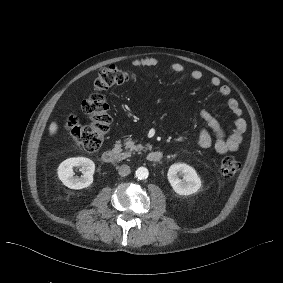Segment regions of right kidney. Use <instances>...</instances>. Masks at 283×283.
Wrapping results in <instances>:
<instances>
[{"mask_svg": "<svg viewBox=\"0 0 283 283\" xmlns=\"http://www.w3.org/2000/svg\"><path fill=\"white\" fill-rule=\"evenodd\" d=\"M74 167H81L83 175L74 177ZM95 164L86 157H73L64 160L58 167V177L70 189H83L93 183Z\"/></svg>", "mask_w": 283, "mask_h": 283, "instance_id": "right-kidney-1", "label": "right kidney"}]
</instances>
